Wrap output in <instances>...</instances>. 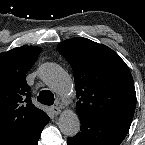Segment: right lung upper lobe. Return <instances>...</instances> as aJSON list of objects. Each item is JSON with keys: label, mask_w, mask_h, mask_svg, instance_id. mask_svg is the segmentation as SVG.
Instances as JSON below:
<instances>
[{"label": "right lung upper lobe", "mask_w": 145, "mask_h": 145, "mask_svg": "<svg viewBox=\"0 0 145 145\" xmlns=\"http://www.w3.org/2000/svg\"><path fill=\"white\" fill-rule=\"evenodd\" d=\"M41 48L22 46L0 54V145L44 122L47 114L31 102L26 73Z\"/></svg>", "instance_id": "obj_1"}]
</instances>
